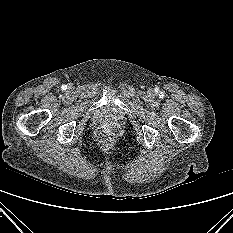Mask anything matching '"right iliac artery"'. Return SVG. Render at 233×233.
<instances>
[{"label": "right iliac artery", "mask_w": 233, "mask_h": 233, "mask_svg": "<svg viewBox=\"0 0 233 233\" xmlns=\"http://www.w3.org/2000/svg\"><path fill=\"white\" fill-rule=\"evenodd\" d=\"M65 87H66V86H62L63 90H65Z\"/></svg>", "instance_id": "82829eb1"}]
</instances>
